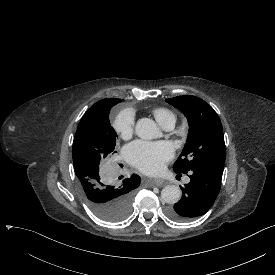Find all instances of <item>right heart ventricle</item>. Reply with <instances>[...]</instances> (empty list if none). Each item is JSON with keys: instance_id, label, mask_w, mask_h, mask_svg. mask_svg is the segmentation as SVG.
<instances>
[{"instance_id": "obj_1", "label": "right heart ventricle", "mask_w": 275, "mask_h": 275, "mask_svg": "<svg viewBox=\"0 0 275 275\" xmlns=\"http://www.w3.org/2000/svg\"><path fill=\"white\" fill-rule=\"evenodd\" d=\"M153 115L156 121L158 122V124L161 126L165 123H168V122L175 123L176 121V116L174 115V113L163 107L154 109Z\"/></svg>"}]
</instances>
